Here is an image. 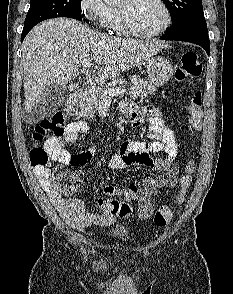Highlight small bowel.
I'll use <instances>...</instances> for the list:
<instances>
[{"label":"small bowel","instance_id":"obj_1","mask_svg":"<svg viewBox=\"0 0 233 294\" xmlns=\"http://www.w3.org/2000/svg\"><path fill=\"white\" fill-rule=\"evenodd\" d=\"M121 108L124 113L131 117V124L134 128L141 126L143 113L149 115L148 140H129L122 143L119 152L112 156L109 168L119 170L133 165H140L159 171L161 172L160 175L145 178L142 185L130 184L122 189L113 185L104 186L103 192L108 198L98 199V205L102 212L95 214L86 212L81 200L65 199L54 187L50 170L35 167V174L51 202L61 217L77 230H83L92 224L108 225L114 221L116 216H129L130 214H123L120 211L122 204L130 206L135 204L138 208V216L143 220H147L152 211L151 196L153 192L158 188H173L177 185L179 168L174 161L178 153V146L172 131L165 127L158 110L146 108L141 112L128 101L123 102ZM88 132L89 127L83 121L69 123L60 137L53 138L49 142V146L53 151V158L71 166H81L88 163L94 155L93 148L76 155H72L63 149L64 142L73 143L78 139L79 135H84ZM157 153H163V155L153 158L152 155ZM118 196H122L124 202L117 200L116 197Z\"/></svg>","mask_w":233,"mask_h":294}]
</instances>
